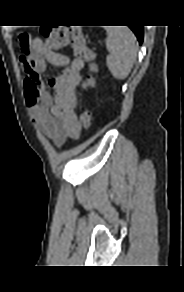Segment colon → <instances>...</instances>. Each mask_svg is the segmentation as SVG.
I'll list each match as a JSON object with an SVG mask.
<instances>
[{
  "instance_id": "1",
  "label": "colon",
  "mask_w": 184,
  "mask_h": 292,
  "mask_svg": "<svg viewBox=\"0 0 184 292\" xmlns=\"http://www.w3.org/2000/svg\"><path fill=\"white\" fill-rule=\"evenodd\" d=\"M41 33L45 38V47L50 50H59L69 45L75 59L85 60L89 63L90 72L82 84L83 88L94 85V74L97 70L95 64V52L86 45L85 37L78 26L70 27H42ZM21 46L27 47L30 44V37L27 34L19 36ZM80 122L84 129H89L92 123V116L89 111L80 113Z\"/></svg>"
}]
</instances>
